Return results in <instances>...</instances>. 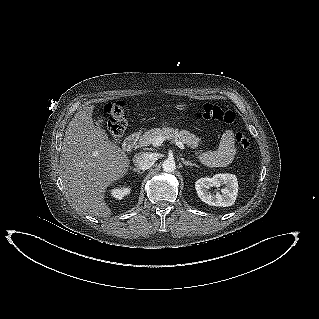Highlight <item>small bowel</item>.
I'll use <instances>...</instances> for the list:
<instances>
[{
	"mask_svg": "<svg viewBox=\"0 0 319 319\" xmlns=\"http://www.w3.org/2000/svg\"><path fill=\"white\" fill-rule=\"evenodd\" d=\"M235 154V137L231 130H227L223 133L218 148L202 152L200 160L210 167H223L232 162Z\"/></svg>",
	"mask_w": 319,
	"mask_h": 319,
	"instance_id": "small-bowel-1",
	"label": "small bowel"
}]
</instances>
